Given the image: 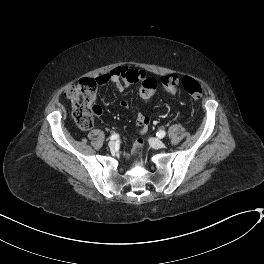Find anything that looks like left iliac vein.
I'll list each match as a JSON object with an SVG mask.
<instances>
[{
    "label": "left iliac vein",
    "mask_w": 264,
    "mask_h": 264,
    "mask_svg": "<svg viewBox=\"0 0 264 264\" xmlns=\"http://www.w3.org/2000/svg\"><path fill=\"white\" fill-rule=\"evenodd\" d=\"M150 145L153 148L159 149V148H164L165 147V143L162 140H159L157 138H151L149 140Z\"/></svg>",
    "instance_id": "obj_1"
}]
</instances>
